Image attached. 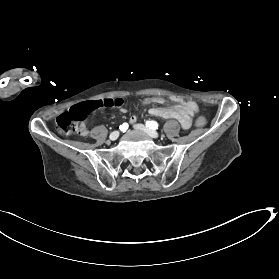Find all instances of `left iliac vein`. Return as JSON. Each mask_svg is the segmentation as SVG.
<instances>
[{"label":"left iliac vein","instance_id":"obj_1","mask_svg":"<svg viewBox=\"0 0 279 279\" xmlns=\"http://www.w3.org/2000/svg\"><path fill=\"white\" fill-rule=\"evenodd\" d=\"M134 128L145 132L152 138L159 137V133L157 131L150 129V128L144 126L143 124H136V125H134Z\"/></svg>","mask_w":279,"mask_h":279}]
</instances>
